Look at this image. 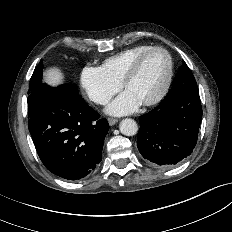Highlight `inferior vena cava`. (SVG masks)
<instances>
[{
	"label": "inferior vena cava",
	"mask_w": 232,
	"mask_h": 232,
	"mask_svg": "<svg viewBox=\"0 0 232 232\" xmlns=\"http://www.w3.org/2000/svg\"><path fill=\"white\" fill-rule=\"evenodd\" d=\"M101 104H105V103H107L108 102V100L107 99H104V98H102V99H100V101H99Z\"/></svg>",
	"instance_id": "obj_1"
}]
</instances>
